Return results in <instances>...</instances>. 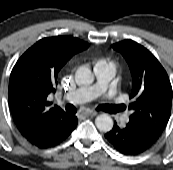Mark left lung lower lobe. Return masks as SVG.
<instances>
[{
	"instance_id": "left-lung-lower-lobe-1",
	"label": "left lung lower lobe",
	"mask_w": 173,
	"mask_h": 170,
	"mask_svg": "<svg viewBox=\"0 0 173 170\" xmlns=\"http://www.w3.org/2000/svg\"><path fill=\"white\" fill-rule=\"evenodd\" d=\"M109 143L124 155H137L148 150L157 139L147 130L128 123L120 128L114 123L113 129L105 134Z\"/></svg>"
}]
</instances>
